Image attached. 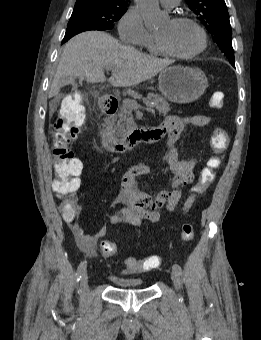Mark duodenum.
<instances>
[{
	"instance_id": "410a0bca",
	"label": "duodenum",
	"mask_w": 261,
	"mask_h": 340,
	"mask_svg": "<svg viewBox=\"0 0 261 340\" xmlns=\"http://www.w3.org/2000/svg\"><path fill=\"white\" fill-rule=\"evenodd\" d=\"M100 108L107 116V119L100 128L101 141L103 146L111 152L124 154L132 151L141 143L153 144L159 140V130L157 127L137 129L124 138L115 136L111 131V117L117 112L118 102L115 99H104L101 101Z\"/></svg>"
}]
</instances>
